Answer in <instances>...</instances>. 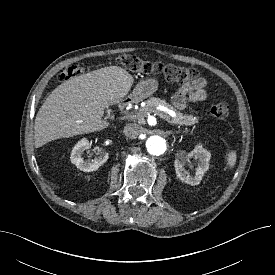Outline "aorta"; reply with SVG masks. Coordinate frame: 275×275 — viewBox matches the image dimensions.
I'll list each match as a JSON object with an SVG mask.
<instances>
[{
  "label": "aorta",
  "instance_id": "762f6f07",
  "mask_svg": "<svg viewBox=\"0 0 275 275\" xmlns=\"http://www.w3.org/2000/svg\"><path fill=\"white\" fill-rule=\"evenodd\" d=\"M146 148L149 154L159 156L166 151L167 145L164 138L154 135L147 139Z\"/></svg>",
  "mask_w": 275,
  "mask_h": 275
}]
</instances>
